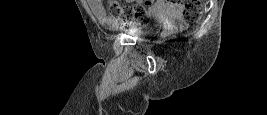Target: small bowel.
Masks as SVG:
<instances>
[{
	"label": "small bowel",
	"instance_id": "c3829d8e",
	"mask_svg": "<svg viewBox=\"0 0 267 115\" xmlns=\"http://www.w3.org/2000/svg\"><path fill=\"white\" fill-rule=\"evenodd\" d=\"M89 6L93 13L100 19H106V11L102 0H88ZM176 11L177 7L172 4H168L164 0H155L150 7V12L156 15H162L167 11Z\"/></svg>",
	"mask_w": 267,
	"mask_h": 115
}]
</instances>
